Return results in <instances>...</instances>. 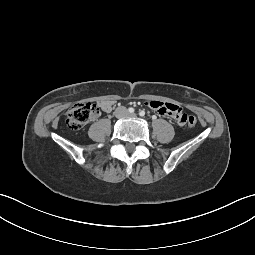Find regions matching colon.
Listing matches in <instances>:
<instances>
[{"mask_svg":"<svg viewBox=\"0 0 255 255\" xmlns=\"http://www.w3.org/2000/svg\"><path fill=\"white\" fill-rule=\"evenodd\" d=\"M186 114V113H185ZM189 127L196 124L197 120L193 115H188ZM100 116L99 107L90 102L78 103L73 105L66 114V125L71 130H79L89 122L96 120Z\"/></svg>","mask_w":255,"mask_h":255,"instance_id":"colon-1","label":"colon"}]
</instances>
